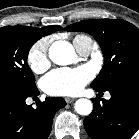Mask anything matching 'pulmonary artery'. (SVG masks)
Here are the masks:
<instances>
[{
    "instance_id": "pulmonary-artery-1",
    "label": "pulmonary artery",
    "mask_w": 139,
    "mask_h": 139,
    "mask_svg": "<svg viewBox=\"0 0 139 139\" xmlns=\"http://www.w3.org/2000/svg\"><path fill=\"white\" fill-rule=\"evenodd\" d=\"M73 44L82 56H88L93 49V42L88 36L75 37Z\"/></svg>"
}]
</instances>
